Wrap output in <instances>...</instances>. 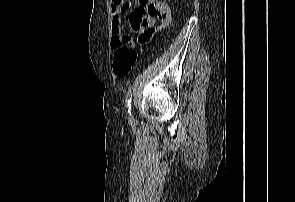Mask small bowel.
Segmentation results:
<instances>
[{
  "mask_svg": "<svg viewBox=\"0 0 295 202\" xmlns=\"http://www.w3.org/2000/svg\"><path fill=\"white\" fill-rule=\"evenodd\" d=\"M128 0H112V24L111 44L117 49L122 45L121 19L122 15L129 10ZM171 14L170 5L159 0H138L128 15L129 24L139 34L141 41L147 40L153 33L157 20L166 24Z\"/></svg>",
  "mask_w": 295,
  "mask_h": 202,
  "instance_id": "1",
  "label": "small bowel"
}]
</instances>
